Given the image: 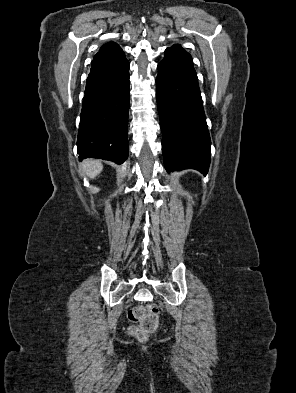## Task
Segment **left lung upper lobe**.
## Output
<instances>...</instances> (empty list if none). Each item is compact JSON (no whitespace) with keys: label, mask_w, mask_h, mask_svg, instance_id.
I'll use <instances>...</instances> for the list:
<instances>
[{"label":"left lung upper lobe","mask_w":296,"mask_h":393,"mask_svg":"<svg viewBox=\"0 0 296 393\" xmlns=\"http://www.w3.org/2000/svg\"><path fill=\"white\" fill-rule=\"evenodd\" d=\"M166 50H175V51H182V52H186L180 45L176 44L173 45L170 48H167Z\"/></svg>","instance_id":"left-lung-upper-lobe-1"}]
</instances>
